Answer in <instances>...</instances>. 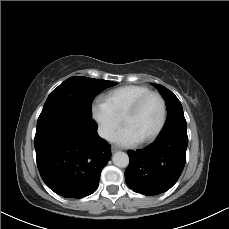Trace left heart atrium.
I'll return each mask as SVG.
<instances>
[{
	"label": "left heart atrium",
	"mask_w": 229,
	"mask_h": 229,
	"mask_svg": "<svg viewBox=\"0 0 229 229\" xmlns=\"http://www.w3.org/2000/svg\"><path fill=\"white\" fill-rule=\"evenodd\" d=\"M139 141L140 139L132 137L129 131L125 128L121 129L115 136V142L122 146H133Z\"/></svg>",
	"instance_id": "obj_1"
}]
</instances>
